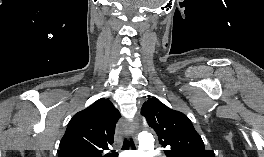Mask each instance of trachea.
<instances>
[{
  "instance_id": "3493384b",
  "label": "trachea",
  "mask_w": 264,
  "mask_h": 157,
  "mask_svg": "<svg viewBox=\"0 0 264 157\" xmlns=\"http://www.w3.org/2000/svg\"><path fill=\"white\" fill-rule=\"evenodd\" d=\"M130 147L135 148L132 138L125 139L122 150H129ZM112 157H117V153H113Z\"/></svg>"
}]
</instances>
